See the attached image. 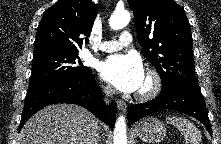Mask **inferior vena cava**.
Returning a JSON list of instances; mask_svg holds the SVG:
<instances>
[{"label":"inferior vena cava","mask_w":221,"mask_h":144,"mask_svg":"<svg viewBox=\"0 0 221 144\" xmlns=\"http://www.w3.org/2000/svg\"><path fill=\"white\" fill-rule=\"evenodd\" d=\"M115 89H113L111 86H106L104 87L103 89V92H104V100L106 103L109 102V100L113 97V95L115 94ZM99 139H100V136L98 134V132H95L94 135H93V138H92V144H99Z\"/></svg>","instance_id":"1"}]
</instances>
